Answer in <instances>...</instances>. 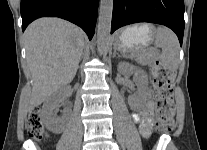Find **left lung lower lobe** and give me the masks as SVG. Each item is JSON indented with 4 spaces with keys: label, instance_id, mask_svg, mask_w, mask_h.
<instances>
[{
    "label": "left lung lower lobe",
    "instance_id": "obj_1",
    "mask_svg": "<svg viewBox=\"0 0 207 150\" xmlns=\"http://www.w3.org/2000/svg\"><path fill=\"white\" fill-rule=\"evenodd\" d=\"M138 22L165 25L178 36L182 45L184 34L183 0H114L111 33Z\"/></svg>",
    "mask_w": 207,
    "mask_h": 150
}]
</instances>
